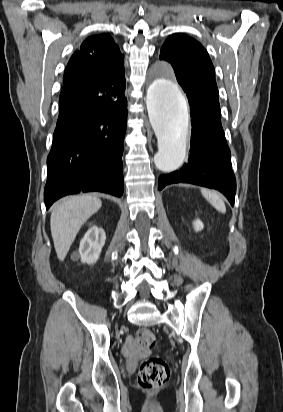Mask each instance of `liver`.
<instances>
[{
  "instance_id": "6515ba94",
  "label": "liver",
  "mask_w": 283,
  "mask_h": 412,
  "mask_svg": "<svg viewBox=\"0 0 283 412\" xmlns=\"http://www.w3.org/2000/svg\"><path fill=\"white\" fill-rule=\"evenodd\" d=\"M102 206L95 195H78L54 206L50 218L51 234L57 257L63 261L84 223Z\"/></svg>"
}]
</instances>
